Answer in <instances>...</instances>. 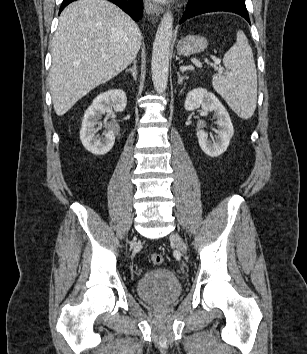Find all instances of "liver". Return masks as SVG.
<instances>
[{
	"instance_id": "liver-1",
	"label": "liver",
	"mask_w": 307,
	"mask_h": 354,
	"mask_svg": "<svg viewBox=\"0 0 307 354\" xmlns=\"http://www.w3.org/2000/svg\"><path fill=\"white\" fill-rule=\"evenodd\" d=\"M138 25L106 0H78L60 14L51 43L50 92L58 116L136 58ZM104 55H106L104 57Z\"/></svg>"
}]
</instances>
